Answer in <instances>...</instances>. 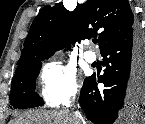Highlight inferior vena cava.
<instances>
[{"label": "inferior vena cava", "instance_id": "602c4592", "mask_svg": "<svg viewBox=\"0 0 145 124\" xmlns=\"http://www.w3.org/2000/svg\"><path fill=\"white\" fill-rule=\"evenodd\" d=\"M74 119L76 121L75 122L76 124H85L82 115L80 113H78V112L75 113Z\"/></svg>", "mask_w": 145, "mask_h": 124}]
</instances>
